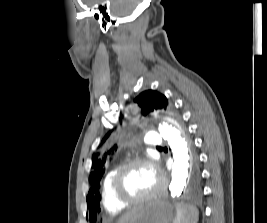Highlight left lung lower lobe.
<instances>
[{"instance_id":"0a47b994","label":"left lung lower lobe","mask_w":267,"mask_h":223,"mask_svg":"<svg viewBox=\"0 0 267 223\" xmlns=\"http://www.w3.org/2000/svg\"><path fill=\"white\" fill-rule=\"evenodd\" d=\"M202 175L201 171H189V176H192L194 180H197Z\"/></svg>"}]
</instances>
